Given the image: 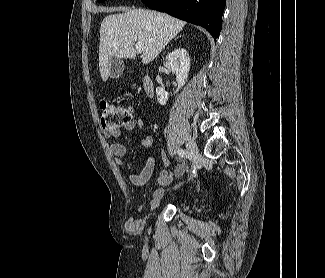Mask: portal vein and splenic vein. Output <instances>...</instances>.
I'll use <instances>...</instances> for the list:
<instances>
[{
    "instance_id": "obj_1",
    "label": "portal vein and splenic vein",
    "mask_w": 325,
    "mask_h": 278,
    "mask_svg": "<svg viewBox=\"0 0 325 278\" xmlns=\"http://www.w3.org/2000/svg\"><path fill=\"white\" fill-rule=\"evenodd\" d=\"M135 48L138 51H141L143 49V43L142 42H137L136 45H135Z\"/></svg>"
}]
</instances>
